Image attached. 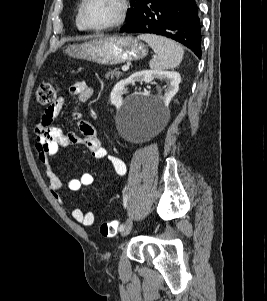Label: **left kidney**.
<instances>
[{
    "label": "left kidney",
    "instance_id": "obj_1",
    "mask_svg": "<svg viewBox=\"0 0 267 301\" xmlns=\"http://www.w3.org/2000/svg\"><path fill=\"white\" fill-rule=\"evenodd\" d=\"M155 78L166 79L168 81V87L165 90L164 96L159 97V102L167 107L171 99L178 92L179 84L181 82V76L178 72L174 71H162V70H143L136 73H133L127 79L119 81L113 88L110 101L117 109L123 105L122 91L130 83L136 81L149 83L152 82Z\"/></svg>",
    "mask_w": 267,
    "mask_h": 301
}]
</instances>
